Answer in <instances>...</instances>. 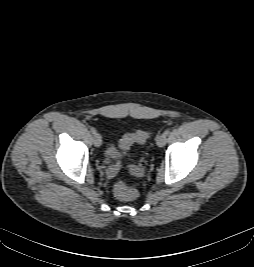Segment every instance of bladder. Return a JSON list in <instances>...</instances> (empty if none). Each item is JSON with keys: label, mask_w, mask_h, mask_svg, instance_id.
<instances>
[{"label": "bladder", "mask_w": 254, "mask_h": 267, "mask_svg": "<svg viewBox=\"0 0 254 267\" xmlns=\"http://www.w3.org/2000/svg\"><path fill=\"white\" fill-rule=\"evenodd\" d=\"M105 155L109 158H117L119 156L118 151L114 145H109L106 148Z\"/></svg>", "instance_id": "1"}]
</instances>
